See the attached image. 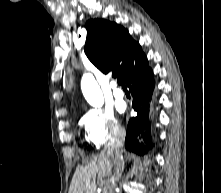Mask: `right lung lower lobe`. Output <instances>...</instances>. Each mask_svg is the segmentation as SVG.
<instances>
[{
	"mask_svg": "<svg viewBox=\"0 0 221 193\" xmlns=\"http://www.w3.org/2000/svg\"><path fill=\"white\" fill-rule=\"evenodd\" d=\"M126 85L133 96V109L137 116L129 120L125 147L137 154H145L151 148L149 102L154 88L153 72L147 59L127 78Z\"/></svg>",
	"mask_w": 221,
	"mask_h": 193,
	"instance_id": "right-lung-lower-lobe-1",
	"label": "right lung lower lobe"
}]
</instances>
